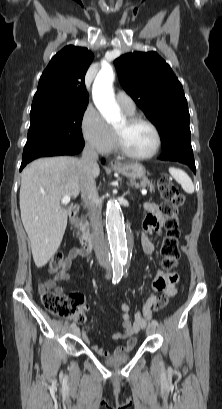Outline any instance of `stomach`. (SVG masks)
<instances>
[{
	"mask_svg": "<svg viewBox=\"0 0 222 409\" xmlns=\"http://www.w3.org/2000/svg\"><path fill=\"white\" fill-rule=\"evenodd\" d=\"M114 171L130 178V179H141L145 178L146 170L139 163H129L123 164L119 167H114Z\"/></svg>",
	"mask_w": 222,
	"mask_h": 409,
	"instance_id": "1",
	"label": "stomach"
}]
</instances>
